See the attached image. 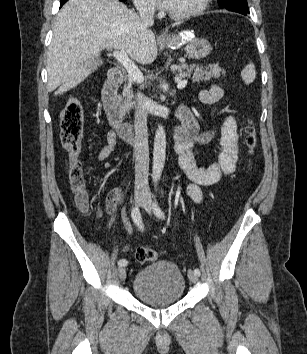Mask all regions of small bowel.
<instances>
[{
    "mask_svg": "<svg viewBox=\"0 0 307 354\" xmlns=\"http://www.w3.org/2000/svg\"><path fill=\"white\" fill-rule=\"evenodd\" d=\"M224 95V89L219 85H212L209 89L199 93V100L204 104L214 105ZM178 115L182 118V125L174 134L175 152L179 164L190 183L186 185V193L196 203L203 201V186L217 184L224 176L234 172L239 160V141L237 125L234 117L227 116L221 127V154L219 160L207 167L196 165L193 157L195 144H204L212 136L211 130H205L196 116L186 107H180ZM117 133L111 128L105 137L106 144L97 155L99 161H105L114 151L117 143ZM125 200L122 188L112 189L106 197V210L113 213Z\"/></svg>",
    "mask_w": 307,
    "mask_h": 354,
    "instance_id": "c3829d8e",
    "label": "small bowel"
}]
</instances>
